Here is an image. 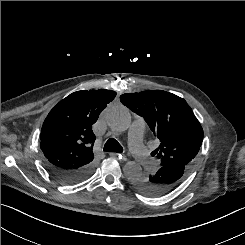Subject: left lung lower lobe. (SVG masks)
<instances>
[{
    "instance_id": "left-lung-lower-lobe-1",
    "label": "left lung lower lobe",
    "mask_w": 245,
    "mask_h": 245,
    "mask_svg": "<svg viewBox=\"0 0 245 245\" xmlns=\"http://www.w3.org/2000/svg\"><path fill=\"white\" fill-rule=\"evenodd\" d=\"M190 167L183 164L171 163L160 166L152 175L133 176L128 186L133 191L149 197H160L176 189L187 176Z\"/></svg>"
}]
</instances>
